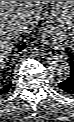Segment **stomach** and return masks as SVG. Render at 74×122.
I'll return each mask as SVG.
<instances>
[{"label": "stomach", "mask_w": 74, "mask_h": 122, "mask_svg": "<svg viewBox=\"0 0 74 122\" xmlns=\"http://www.w3.org/2000/svg\"><path fill=\"white\" fill-rule=\"evenodd\" d=\"M51 16L60 23L70 21L74 17V1H55Z\"/></svg>", "instance_id": "obj_1"}]
</instances>
